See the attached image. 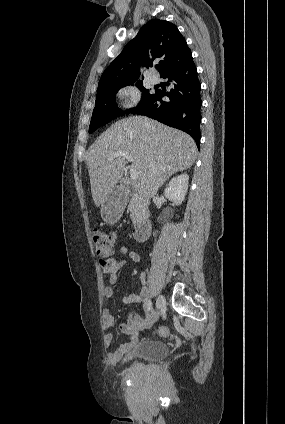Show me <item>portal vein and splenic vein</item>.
<instances>
[{
	"instance_id": "18ae733b",
	"label": "portal vein and splenic vein",
	"mask_w": 285,
	"mask_h": 424,
	"mask_svg": "<svg viewBox=\"0 0 285 424\" xmlns=\"http://www.w3.org/2000/svg\"><path fill=\"white\" fill-rule=\"evenodd\" d=\"M119 156H123L126 160L132 162V156L129 155L128 153H124V152H115L112 157L109 158V161L112 162L115 158L119 157ZM130 174V179L131 180H137L139 178V172L137 169L135 168H131L129 171Z\"/></svg>"
}]
</instances>
